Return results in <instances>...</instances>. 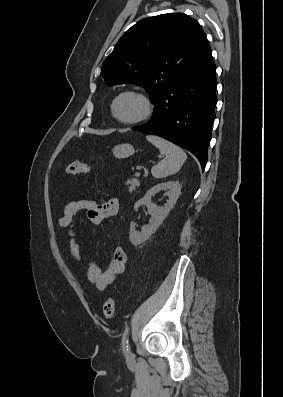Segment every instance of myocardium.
Listing matches in <instances>:
<instances>
[{"mask_svg":"<svg viewBox=\"0 0 283 397\" xmlns=\"http://www.w3.org/2000/svg\"><path fill=\"white\" fill-rule=\"evenodd\" d=\"M126 95H132V96H135V97L139 98L141 100L142 104H143V111H142L141 115L138 116L137 118L125 120V119H121L116 114L115 107H116L117 101L121 97L126 96ZM110 108H111L112 116L119 123L124 124V125H136V124L144 122L145 120L150 118V116L152 115L153 110H154V105H153V102L151 101V99L148 97L147 94H145L144 92H142L140 90L130 89V90H125V91H122V92L118 93L114 97V99L112 100Z\"/></svg>","mask_w":283,"mask_h":397,"instance_id":"myocardium-1","label":"myocardium"}]
</instances>
